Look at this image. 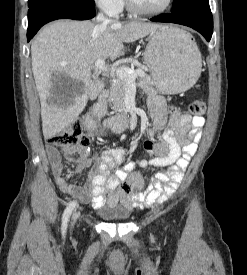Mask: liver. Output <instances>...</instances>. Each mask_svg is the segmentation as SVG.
Wrapping results in <instances>:
<instances>
[{"label":"liver","instance_id":"6515ba94","mask_svg":"<svg viewBox=\"0 0 247 275\" xmlns=\"http://www.w3.org/2000/svg\"><path fill=\"white\" fill-rule=\"evenodd\" d=\"M163 28L145 22L103 26L90 21L58 20L43 28L31 45L32 71L41 103L42 130L50 139L73 124L88 99H95L104 84L91 77L98 59L111 61L128 51L130 43ZM67 74L79 82L74 95L50 92V81Z\"/></svg>","mask_w":247,"mask_h":275}]
</instances>
